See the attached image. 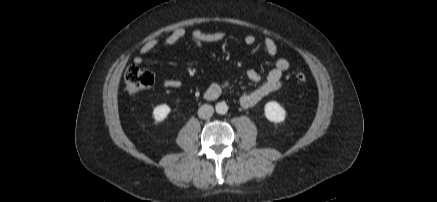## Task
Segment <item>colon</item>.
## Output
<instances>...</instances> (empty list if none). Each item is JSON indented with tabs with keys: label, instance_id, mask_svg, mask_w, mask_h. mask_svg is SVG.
Returning <instances> with one entry per match:
<instances>
[{
	"label": "colon",
	"instance_id": "obj_1",
	"mask_svg": "<svg viewBox=\"0 0 437 202\" xmlns=\"http://www.w3.org/2000/svg\"><path fill=\"white\" fill-rule=\"evenodd\" d=\"M295 78L299 83H304L307 80L306 75L302 72L296 73ZM124 80L126 91L130 95H136L151 88L155 77L150 70L140 68L137 65H130L125 71Z\"/></svg>",
	"mask_w": 437,
	"mask_h": 202
}]
</instances>
